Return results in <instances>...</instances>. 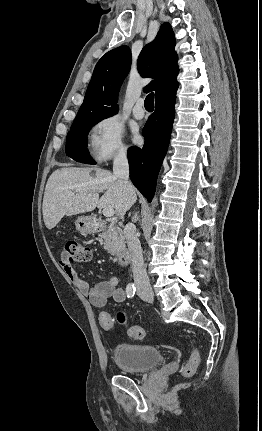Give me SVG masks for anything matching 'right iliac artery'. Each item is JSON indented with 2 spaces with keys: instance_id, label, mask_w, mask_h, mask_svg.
Instances as JSON below:
<instances>
[{
  "instance_id": "1",
  "label": "right iliac artery",
  "mask_w": 262,
  "mask_h": 431,
  "mask_svg": "<svg viewBox=\"0 0 262 431\" xmlns=\"http://www.w3.org/2000/svg\"><path fill=\"white\" fill-rule=\"evenodd\" d=\"M136 291V287L133 283H129L126 287V293L128 297H133Z\"/></svg>"
}]
</instances>
